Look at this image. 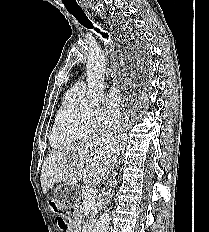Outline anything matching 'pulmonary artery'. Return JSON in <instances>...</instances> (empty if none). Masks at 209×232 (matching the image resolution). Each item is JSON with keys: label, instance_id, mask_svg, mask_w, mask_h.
Wrapping results in <instances>:
<instances>
[{"label": "pulmonary artery", "instance_id": "obj_1", "mask_svg": "<svg viewBox=\"0 0 209 232\" xmlns=\"http://www.w3.org/2000/svg\"><path fill=\"white\" fill-rule=\"evenodd\" d=\"M107 78H112V73H107ZM72 88H74L76 91L80 93H84L86 90V83L85 81H78Z\"/></svg>", "mask_w": 209, "mask_h": 232}]
</instances>
